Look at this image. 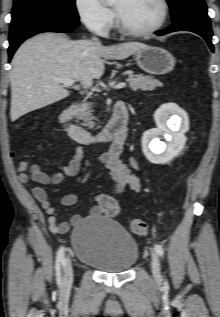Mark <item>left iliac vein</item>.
Here are the masks:
<instances>
[{
	"label": "left iliac vein",
	"mask_w": 220,
	"mask_h": 317,
	"mask_svg": "<svg viewBox=\"0 0 220 317\" xmlns=\"http://www.w3.org/2000/svg\"><path fill=\"white\" fill-rule=\"evenodd\" d=\"M151 268L154 278L157 281L161 280V268H160V260L156 253H151Z\"/></svg>",
	"instance_id": "4c4485c4"
}]
</instances>
